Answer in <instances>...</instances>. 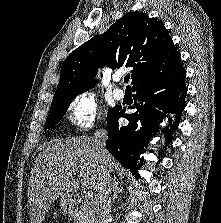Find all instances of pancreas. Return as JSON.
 I'll return each mask as SVG.
<instances>
[{
  "label": "pancreas",
  "instance_id": "pancreas-1",
  "mask_svg": "<svg viewBox=\"0 0 221 223\" xmlns=\"http://www.w3.org/2000/svg\"><path fill=\"white\" fill-rule=\"evenodd\" d=\"M74 223H97L93 206L84 202L79 211L73 214Z\"/></svg>",
  "mask_w": 221,
  "mask_h": 223
}]
</instances>
